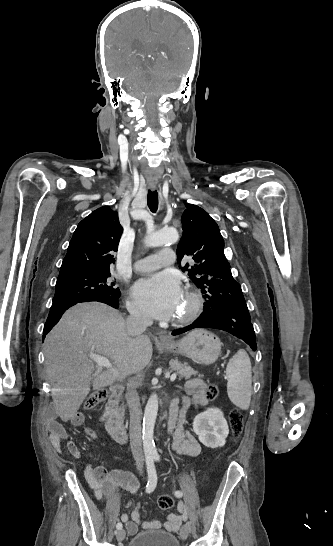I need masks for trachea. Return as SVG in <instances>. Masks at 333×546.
Instances as JSON below:
<instances>
[{
  "label": "trachea",
  "mask_w": 333,
  "mask_h": 546,
  "mask_svg": "<svg viewBox=\"0 0 333 546\" xmlns=\"http://www.w3.org/2000/svg\"><path fill=\"white\" fill-rule=\"evenodd\" d=\"M147 204L151 212L155 213L158 209V193L157 191H148Z\"/></svg>",
  "instance_id": "1"
}]
</instances>
